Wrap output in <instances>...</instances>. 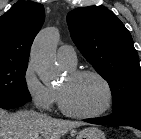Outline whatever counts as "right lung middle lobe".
Wrapping results in <instances>:
<instances>
[{
	"instance_id": "right-lung-middle-lobe-1",
	"label": "right lung middle lobe",
	"mask_w": 141,
	"mask_h": 139,
	"mask_svg": "<svg viewBox=\"0 0 141 139\" xmlns=\"http://www.w3.org/2000/svg\"><path fill=\"white\" fill-rule=\"evenodd\" d=\"M28 62H0V103L29 102L25 73Z\"/></svg>"
}]
</instances>
